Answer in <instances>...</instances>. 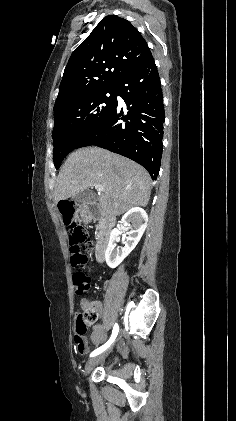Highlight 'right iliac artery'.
<instances>
[{"mask_svg":"<svg viewBox=\"0 0 236 421\" xmlns=\"http://www.w3.org/2000/svg\"><path fill=\"white\" fill-rule=\"evenodd\" d=\"M119 332V326L117 323H115L114 327H113V331H112V335L110 337V339L101 347L97 348L96 350H94L91 354L90 357H94L100 353H102L103 351H105L115 340V338L117 337Z\"/></svg>","mask_w":236,"mask_h":421,"instance_id":"82829eb1","label":"right iliac artery"}]
</instances>
